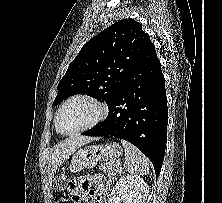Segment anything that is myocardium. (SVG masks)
<instances>
[{
    "label": "myocardium",
    "mask_w": 222,
    "mask_h": 203,
    "mask_svg": "<svg viewBox=\"0 0 222 203\" xmlns=\"http://www.w3.org/2000/svg\"><path fill=\"white\" fill-rule=\"evenodd\" d=\"M77 100H85L94 104L98 108L99 113L97 117L91 123L73 131H64L60 128V125H59L60 115L68 104ZM107 115H108V107L106 106V104H104L103 102H101L99 99H97L94 96L87 95V94H78L69 98L62 104L55 118V127H56V130L63 135H75V134L82 133V132H85L87 130L94 128L100 122H102L107 117Z\"/></svg>",
    "instance_id": "myocardium-1"
}]
</instances>
